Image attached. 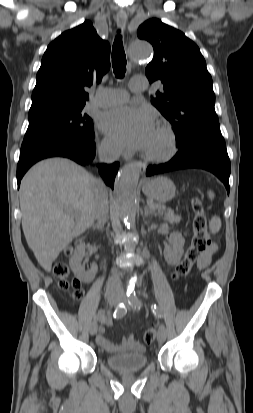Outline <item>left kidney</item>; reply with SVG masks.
I'll return each mask as SVG.
<instances>
[{
	"label": "left kidney",
	"mask_w": 253,
	"mask_h": 413,
	"mask_svg": "<svg viewBox=\"0 0 253 413\" xmlns=\"http://www.w3.org/2000/svg\"><path fill=\"white\" fill-rule=\"evenodd\" d=\"M185 239L179 232H173L169 237V245L164 248V257L168 264H177L184 253Z\"/></svg>",
	"instance_id": "obj_1"
}]
</instances>
